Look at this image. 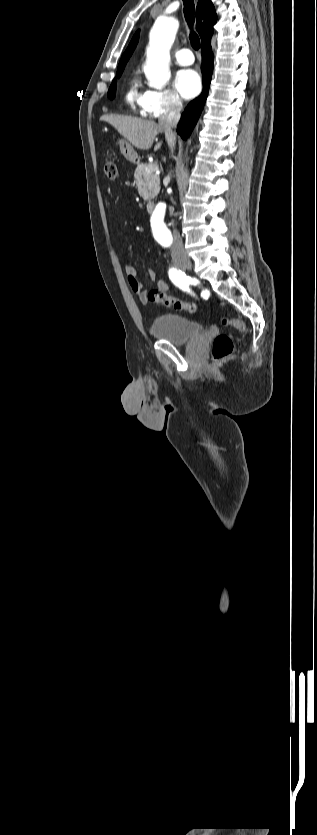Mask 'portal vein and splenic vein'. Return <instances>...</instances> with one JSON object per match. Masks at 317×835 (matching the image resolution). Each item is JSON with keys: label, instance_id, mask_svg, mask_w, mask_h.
Masks as SVG:
<instances>
[{"label": "portal vein and splenic vein", "instance_id": "obj_1", "mask_svg": "<svg viewBox=\"0 0 317 835\" xmlns=\"http://www.w3.org/2000/svg\"><path fill=\"white\" fill-rule=\"evenodd\" d=\"M151 170H153L154 172H158V165L151 164L149 167L146 168V172H150Z\"/></svg>", "mask_w": 317, "mask_h": 835}]
</instances>
